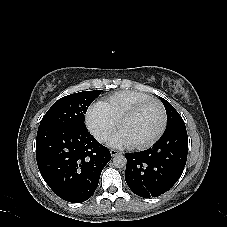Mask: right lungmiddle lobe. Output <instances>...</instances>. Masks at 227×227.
Here are the masks:
<instances>
[{
    "label": "right lung middle lobe",
    "instance_id": "obj_1",
    "mask_svg": "<svg viewBox=\"0 0 227 227\" xmlns=\"http://www.w3.org/2000/svg\"><path fill=\"white\" fill-rule=\"evenodd\" d=\"M102 90L83 91L62 97L47 111L40 126L85 127L84 114ZM39 126V127H40Z\"/></svg>",
    "mask_w": 227,
    "mask_h": 227
}]
</instances>
